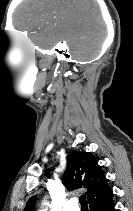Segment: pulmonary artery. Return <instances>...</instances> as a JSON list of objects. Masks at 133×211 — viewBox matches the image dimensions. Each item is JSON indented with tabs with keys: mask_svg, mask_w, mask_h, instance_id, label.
Returning <instances> with one entry per match:
<instances>
[{
	"mask_svg": "<svg viewBox=\"0 0 133 211\" xmlns=\"http://www.w3.org/2000/svg\"><path fill=\"white\" fill-rule=\"evenodd\" d=\"M63 211H80L77 205V200L76 199L68 200L63 207Z\"/></svg>",
	"mask_w": 133,
	"mask_h": 211,
	"instance_id": "pulmonary-artery-1",
	"label": "pulmonary artery"
}]
</instances>
